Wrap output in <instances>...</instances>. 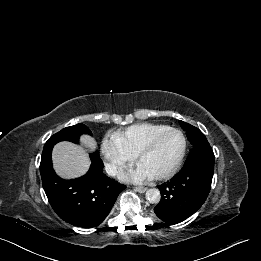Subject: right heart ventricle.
I'll return each instance as SVG.
<instances>
[{
	"instance_id": "e07e8e85",
	"label": "right heart ventricle",
	"mask_w": 261,
	"mask_h": 261,
	"mask_svg": "<svg viewBox=\"0 0 261 261\" xmlns=\"http://www.w3.org/2000/svg\"><path fill=\"white\" fill-rule=\"evenodd\" d=\"M169 126L155 123H138L114 133L115 139L126 151L136 156L145 144L158 132Z\"/></svg>"
}]
</instances>
